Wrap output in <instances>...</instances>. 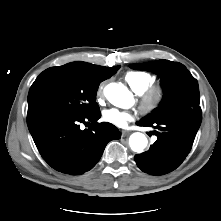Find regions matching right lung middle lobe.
I'll use <instances>...</instances> for the list:
<instances>
[{
    "label": "right lung middle lobe",
    "instance_id": "1",
    "mask_svg": "<svg viewBox=\"0 0 221 221\" xmlns=\"http://www.w3.org/2000/svg\"><path fill=\"white\" fill-rule=\"evenodd\" d=\"M99 84L68 70H45L30 88L28 112L57 110L82 116L93 114L99 111L96 103Z\"/></svg>",
    "mask_w": 221,
    "mask_h": 221
}]
</instances>
